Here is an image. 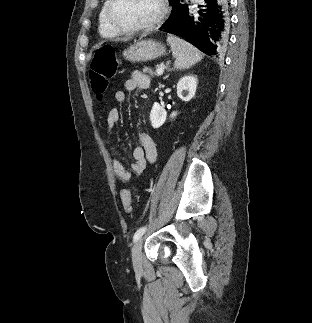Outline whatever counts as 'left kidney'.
Wrapping results in <instances>:
<instances>
[{
	"instance_id": "5707ae66",
	"label": "left kidney",
	"mask_w": 312,
	"mask_h": 323,
	"mask_svg": "<svg viewBox=\"0 0 312 323\" xmlns=\"http://www.w3.org/2000/svg\"><path fill=\"white\" fill-rule=\"evenodd\" d=\"M197 86V78L195 76H183L177 84V96L183 102H189L195 96ZM177 112H172L170 118H175ZM167 120V112L164 110V106H160L158 102L153 104V108L150 114V122L153 128H160Z\"/></svg>"
}]
</instances>
